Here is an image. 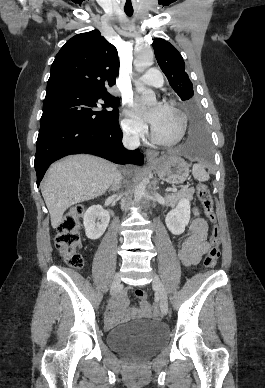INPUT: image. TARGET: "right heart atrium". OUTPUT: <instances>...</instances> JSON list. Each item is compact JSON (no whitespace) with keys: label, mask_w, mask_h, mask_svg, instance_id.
<instances>
[{"label":"right heart atrium","mask_w":265,"mask_h":388,"mask_svg":"<svg viewBox=\"0 0 265 388\" xmlns=\"http://www.w3.org/2000/svg\"><path fill=\"white\" fill-rule=\"evenodd\" d=\"M124 124L128 134L134 138H141L147 132V128L145 124L138 118L131 116L127 111H126V119L124 120Z\"/></svg>","instance_id":"right-heart-atrium-1"}]
</instances>
